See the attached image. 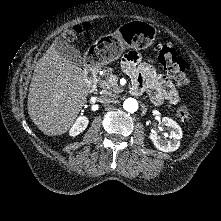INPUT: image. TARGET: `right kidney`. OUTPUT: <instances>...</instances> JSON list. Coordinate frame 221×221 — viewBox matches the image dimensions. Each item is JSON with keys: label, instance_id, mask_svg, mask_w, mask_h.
Segmentation results:
<instances>
[{"label": "right kidney", "instance_id": "obj_1", "mask_svg": "<svg viewBox=\"0 0 221 221\" xmlns=\"http://www.w3.org/2000/svg\"><path fill=\"white\" fill-rule=\"evenodd\" d=\"M88 122V118L85 116H80L79 118H77L76 122L73 124L69 131L70 136L75 137L83 132L86 129Z\"/></svg>", "mask_w": 221, "mask_h": 221}]
</instances>
